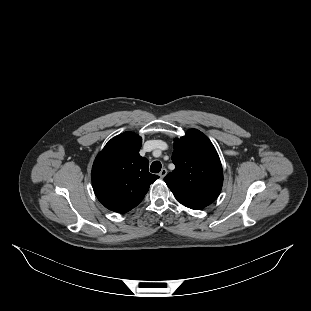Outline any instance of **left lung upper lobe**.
<instances>
[{"mask_svg":"<svg viewBox=\"0 0 311 311\" xmlns=\"http://www.w3.org/2000/svg\"><path fill=\"white\" fill-rule=\"evenodd\" d=\"M172 161L175 169L164 181L186 207L202 209L216 200L223 184L219 156L209 138L197 129L175 139Z\"/></svg>","mask_w":311,"mask_h":311,"instance_id":"left-lung-upper-lobe-1","label":"left lung upper lobe"}]
</instances>
